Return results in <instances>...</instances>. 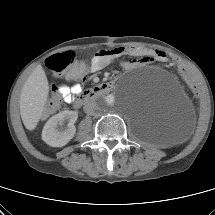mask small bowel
Instances as JSON below:
<instances>
[{"label": "small bowel", "instance_id": "c3829d8e", "mask_svg": "<svg viewBox=\"0 0 215 215\" xmlns=\"http://www.w3.org/2000/svg\"><path fill=\"white\" fill-rule=\"evenodd\" d=\"M123 56L134 57V59L122 61L121 66L125 70H131L154 62H166L168 59L167 54L159 49L141 46L114 47L97 52L90 60V63L88 65L86 64L87 70L80 77L85 76L89 72L102 70L114 60ZM58 91L66 103H72L75 96L82 91V86L79 83H73L71 85L61 84L58 87Z\"/></svg>", "mask_w": 215, "mask_h": 215}]
</instances>
